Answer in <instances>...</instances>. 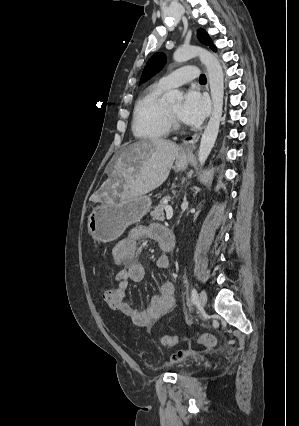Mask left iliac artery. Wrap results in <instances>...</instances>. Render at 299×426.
<instances>
[{
    "label": "left iliac artery",
    "instance_id": "left-iliac-artery-1",
    "mask_svg": "<svg viewBox=\"0 0 299 426\" xmlns=\"http://www.w3.org/2000/svg\"><path fill=\"white\" fill-rule=\"evenodd\" d=\"M191 298H192V303L195 304L198 299V294L195 288L192 289Z\"/></svg>",
    "mask_w": 299,
    "mask_h": 426
}]
</instances>
